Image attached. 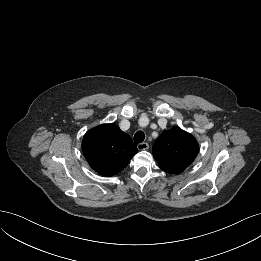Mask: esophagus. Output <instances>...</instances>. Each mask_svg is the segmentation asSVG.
Masks as SVG:
<instances>
[{"instance_id": "1", "label": "esophagus", "mask_w": 261, "mask_h": 261, "mask_svg": "<svg viewBox=\"0 0 261 261\" xmlns=\"http://www.w3.org/2000/svg\"><path fill=\"white\" fill-rule=\"evenodd\" d=\"M138 150H147L149 148V144L147 142H142L137 145Z\"/></svg>"}]
</instances>
